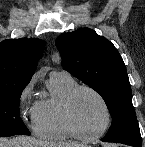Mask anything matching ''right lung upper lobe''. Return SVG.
I'll return each mask as SVG.
<instances>
[{"mask_svg": "<svg viewBox=\"0 0 145 147\" xmlns=\"http://www.w3.org/2000/svg\"><path fill=\"white\" fill-rule=\"evenodd\" d=\"M45 48L41 39H7L0 43V92L27 86Z\"/></svg>", "mask_w": 145, "mask_h": 147, "instance_id": "right-lung-upper-lobe-1", "label": "right lung upper lobe"}]
</instances>
